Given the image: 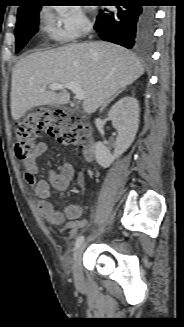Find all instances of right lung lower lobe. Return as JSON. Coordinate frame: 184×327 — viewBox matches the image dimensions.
Returning <instances> with one entry per match:
<instances>
[{"label": "right lung lower lobe", "mask_w": 184, "mask_h": 327, "mask_svg": "<svg viewBox=\"0 0 184 327\" xmlns=\"http://www.w3.org/2000/svg\"><path fill=\"white\" fill-rule=\"evenodd\" d=\"M125 3L124 6H116L114 12L101 10L94 28L105 41L128 49L146 48L154 33V10L142 7L137 0Z\"/></svg>", "instance_id": "right-lung-lower-lobe-1"}]
</instances>
